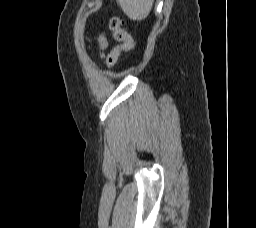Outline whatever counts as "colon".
<instances>
[{
    "label": "colon",
    "instance_id": "1",
    "mask_svg": "<svg viewBox=\"0 0 256 228\" xmlns=\"http://www.w3.org/2000/svg\"><path fill=\"white\" fill-rule=\"evenodd\" d=\"M109 28L112 31L115 40L119 42V45L115 46L106 57V66L108 68H112L116 65L123 52L132 49L133 40L123 28V22L119 16L114 15L111 17L109 21ZM97 40L100 53L103 55V51L107 46L106 38L104 35H99Z\"/></svg>",
    "mask_w": 256,
    "mask_h": 228
}]
</instances>
